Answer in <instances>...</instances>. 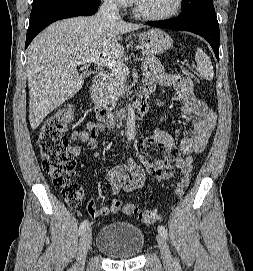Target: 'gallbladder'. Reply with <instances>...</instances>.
I'll return each mask as SVG.
<instances>
[{
  "label": "gallbladder",
  "mask_w": 253,
  "mask_h": 271,
  "mask_svg": "<svg viewBox=\"0 0 253 271\" xmlns=\"http://www.w3.org/2000/svg\"><path fill=\"white\" fill-rule=\"evenodd\" d=\"M90 74H91V72L88 71V70H86V71H83L81 75H82L83 78H86V77H88Z\"/></svg>",
  "instance_id": "1"
}]
</instances>
